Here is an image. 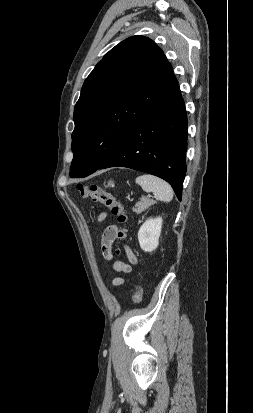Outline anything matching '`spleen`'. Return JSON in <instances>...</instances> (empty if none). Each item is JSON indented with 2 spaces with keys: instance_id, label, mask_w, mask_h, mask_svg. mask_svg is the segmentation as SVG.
I'll return each mask as SVG.
<instances>
[{
  "instance_id": "1",
  "label": "spleen",
  "mask_w": 253,
  "mask_h": 413,
  "mask_svg": "<svg viewBox=\"0 0 253 413\" xmlns=\"http://www.w3.org/2000/svg\"><path fill=\"white\" fill-rule=\"evenodd\" d=\"M136 183L139 184L145 192H152L157 200L168 203L173 198L171 186L161 178L144 174L136 178Z\"/></svg>"
}]
</instances>
